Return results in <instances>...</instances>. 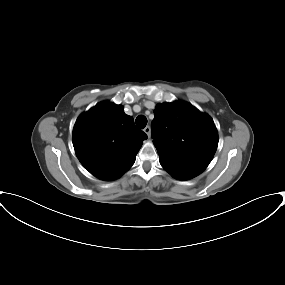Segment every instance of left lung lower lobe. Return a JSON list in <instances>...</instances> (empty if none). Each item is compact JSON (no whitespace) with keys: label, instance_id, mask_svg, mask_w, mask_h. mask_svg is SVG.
Wrapping results in <instances>:
<instances>
[{"label":"left lung lower lobe","instance_id":"left-lung-lower-lobe-1","mask_svg":"<svg viewBox=\"0 0 285 285\" xmlns=\"http://www.w3.org/2000/svg\"><path fill=\"white\" fill-rule=\"evenodd\" d=\"M159 160L162 167L174 178L179 180H188L201 173L192 168L174 165L161 159Z\"/></svg>","mask_w":285,"mask_h":285}]
</instances>
